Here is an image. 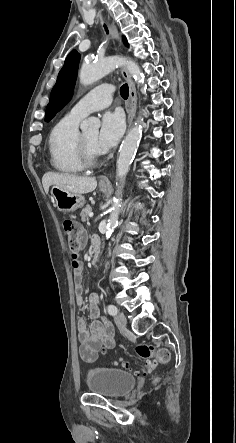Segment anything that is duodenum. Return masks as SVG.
Listing matches in <instances>:
<instances>
[{
  "label": "duodenum",
  "instance_id": "obj_1",
  "mask_svg": "<svg viewBox=\"0 0 236 443\" xmlns=\"http://www.w3.org/2000/svg\"><path fill=\"white\" fill-rule=\"evenodd\" d=\"M99 254H100V245H98L94 248L92 260L96 261L99 257Z\"/></svg>",
  "mask_w": 236,
  "mask_h": 443
}]
</instances>
